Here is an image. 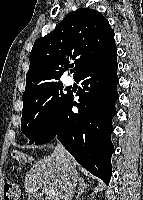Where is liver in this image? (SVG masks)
I'll use <instances>...</instances> for the list:
<instances>
[{
	"label": "liver",
	"instance_id": "6515ba94",
	"mask_svg": "<svg viewBox=\"0 0 143 200\" xmlns=\"http://www.w3.org/2000/svg\"><path fill=\"white\" fill-rule=\"evenodd\" d=\"M64 158L54 151L33 165L24 181V188L29 198L39 197L37 192L43 188L54 193L52 195L46 194L47 200H69L73 197L75 190L70 192L71 179ZM71 164L76 169L77 163L72 156ZM40 200L43 199L40 198Z\"/></svg>",
	"mask_w": 143,
	"mask_h": 200
}]
</instances>
